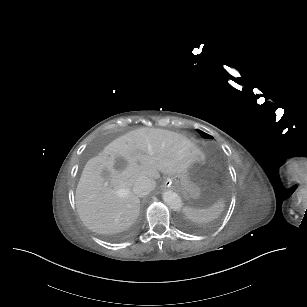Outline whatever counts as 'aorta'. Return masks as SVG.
<instances>
[{"instance_id":"obj_1","label":"aorta","mask_w":307,"mask_h":307,"mask_svg":"<svg viewBox=\"0 0 307 307\" xmlns=\"http://www.w3.org/2000/svg\"><path fill=\"white\" fill-rule=\"evenodd\" d=\"M163 200L174 210H179L182 207L181 198L173 191L164 192Z\"/></svg>"}]
</instances>
